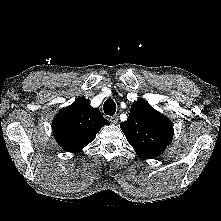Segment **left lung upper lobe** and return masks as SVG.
Wrapping results in <instances>:
<instances>
[{
  "instance_id": "left-lung-upper-lobe-1",
  "label": "left lung upper lobe",
  "mask_w": 221,
  "mask_h": 221,
  "mask_svg": "<svg viewBox=\"0 0 221 221\" xmlns=\"http://www.w3.org/2000/svg\"><path fill=\"white\" fill-rule=\"evenodd\" d=\"M120 127L136 153L145 159L158 157L173 138L171 121L143 99L132 104L127 121Z\"/></svg>"
}]
</instances>
